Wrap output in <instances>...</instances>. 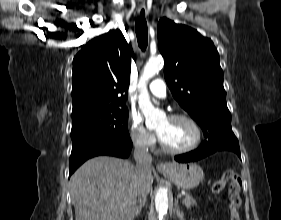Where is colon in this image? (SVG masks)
I'll return each mask as SVG.
<instances>
[{
    "instance_id": "obj_1",
    "label": "colon",
    "mask_w": 281,
    "mask_h": 220,
    "mask_svg": "<svg viewBox=\"0 0 281 220\" xmlns=\"http://www.w3.org/2000/svg\"><path fill=\"white\" fill-rule=\"evenodd\" d=\"M229 184L228 199H229V212L230 220H241L239 215V208L241 206L240 197V176L232 169H227L219 180L212 185V192L214 194L220 193L226 184Z\"/></svg>"
}]
</instances>
